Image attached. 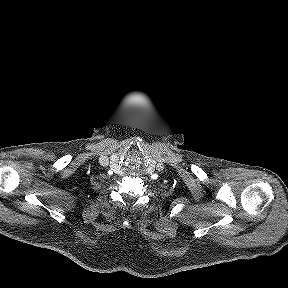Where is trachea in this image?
Returning <instances> with one entry per match:
<instances>
[{
    "instance_id": "trachea-1",
    "label": "trachea",
    "mask_w": 288,
    "mask_h": 288,
    "mask_svg": "<svg viewBox=\"0 0 288 288\" xmlns=\"http://www.w3.org/2000/svg\"><path fill=\"white\" fill-rule=\"evenodd\" d=\"M140 157L137 153L131 151L126 157V165L129 167H134L139 163Z\"/></svg>"
}]
</instances>
